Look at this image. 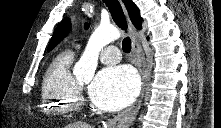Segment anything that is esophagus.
I'll return each instance as SVG.
<instances>
[{"label": "esophagus", "mask_w": 221, "mask_h": 128, "mask_svg": "<svg viewBox=\"0 0 221 128\" xmlns=\"http://www.w3.org/2000/svg\"><path fill=\"white\" fill-rule=\"evenodd\" d=\"M127 19L129 23L130 35L132 38L133 62L136 64L141 74L142 87H141V92H140L138 99L130 107L120 112L114 118L110 119L108 122L103 124L104 127H108V128H126L134 121L142 105V100H143L145 89H146L147 69H146V62H145L142 46L140 44V39H139L137 30L132 25L128 16H127Z\"/></svg>", "instance_id": "34e87169"}]
</instances>
